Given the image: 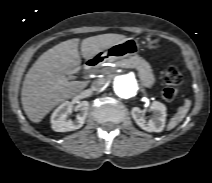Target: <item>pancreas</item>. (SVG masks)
<instances>
[{
    "label": "pancreas",
    "instance_id": "1",
    "mask_svg": "<svg viewBox=\"0 0 212 183\" xmlns=\"http://www.w3.org/2000/svg\"><path fill=\"white\" fill-rule=\"evenodd\" d=\"M117 65L123 68L136 69L141 83L147 88H150L155 83V77L150 64L138 55L121 59L117 62Z\"/></svg>",
    "mask_w": 212,
    "mask_h": 183
}]
</instances>
